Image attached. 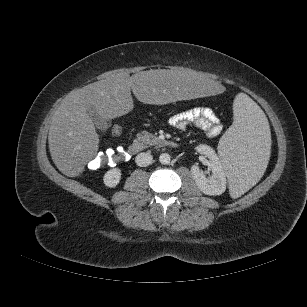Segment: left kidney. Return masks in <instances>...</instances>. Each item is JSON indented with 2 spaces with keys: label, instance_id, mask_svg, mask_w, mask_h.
<instances>
[{
  "label": "left kidney",
  "instance_id": "1",
  "mask_svg": "<svg viewBox=\"0 0 307 307\" xmlns=\"http://www.w3.org/2000/svg\"><path fill=\"white\" fill-rule=\"evenodd\" d=\"M197 152L204 154L209 159V167L212 174L209 177L200 170L199 166L191 167V174L198 188L206 195H221L226 190V173L213 148L200 144Z\"/></svg>",
  "mask_w": 307,
  "mask_h": 307
}]
</instances>
